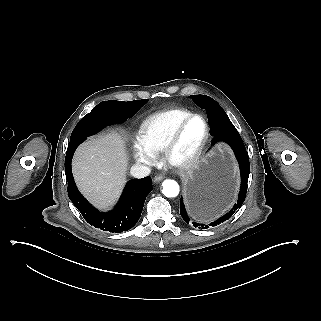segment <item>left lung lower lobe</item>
<instances>
[{
    "mask_svg": "<svg viewBox=\"0 0 321 321\" xmlns=\"http://www.w3.org/2000/svg\"><path fill=\"white\" fill-rule=\"evenodd\" d=\"M207 115L210 124V133L213 136L212 144H215L218 141H224L228 143L235 153V156L239 162L241 172V187L237 203L227 214L209 224V226H216L229 219L234 214V212L243 204L247 193V183L250 172V164L248 160V154L246 152V148L241 139V136L234 127V125L228 124L229 119L226 113L217 109H209L207 110ZM180 214L183 220L187 224H189L190 218L187 215L182 197L180 201ZM192 224L194 227H199L202 229L208 228V225L205 224H199L196 222H192Z\"/></svg>",
    "mask_w": 321,
    "mask_h": 321,
    "instance_id": "obj_1",
    "label": "left lung lower lobe"
}]
</instances>
